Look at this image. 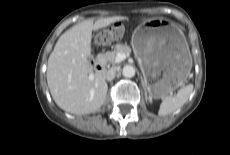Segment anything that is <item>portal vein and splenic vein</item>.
I'll return each mask as SVG.
<instances>
[{
  "mask_svg": "<svg viewBox=\"0 0 230 155\" xmlns=\"http://www.w3.org/2000/svg\"><path fill=\"white\" fill-rule=\"evenodd\" d=\"M126 57H127V56H126L124 53H118L117 56H116L115 61H116L117 63H119V62L125 60Z\"/></svg>",
  "mask_w": 230,
  "mask_h": 155,
  "instance_id": "obj_1",
  "label": "portal vein and splenic vein"
}]
</instances>
